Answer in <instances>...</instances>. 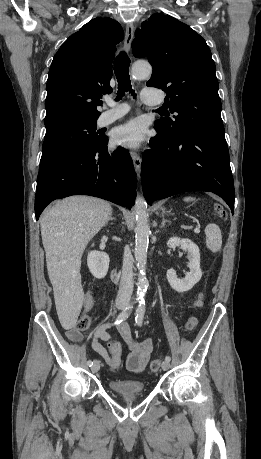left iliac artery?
Listing matches in <instances>:
<instances>
[{"label": "left iliac artery", "mask_w": 261, "mask_h": 459, "mask_svg": "<svg viewBox=\"0 0 261 459\" xmlns=\"http://www.w3.org/2000/svg\"><path fill=\"white\" fill-rule=\"evenodd\" d=\"M144 314H145V302H144V300H141L139 302V305H138L137 309H136V316H135V321H136L138 326L142 325V322H143V319H144ZM165 360L170 361L171 360L170 356H166Z\"/></svg>", "instance_id": "left-iliac-artery-1"}]
</instances>
